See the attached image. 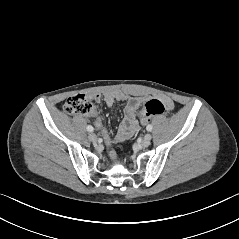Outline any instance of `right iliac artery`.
I'll use <instances>...</instances> for the list:
<instances>
[{"label": "right iliac artery", "mask_w": 239, "mask_h": 239, "mask_svg": "<svg viewBox=\"0 0 239 239\" xmlns=\"http://www.w3.org/2000/svg\"><path fill=\"white\" fill-rule=\"evenodd\" d=\"M93 130H94V128L91 125L87 126V131L92 132Z\"/></svg>", "instance_id": "right-iliac-artery-1"}]
</instances>
